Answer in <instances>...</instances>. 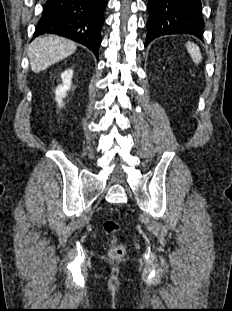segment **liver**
Segmentation results:
<instances>
[{"instance_id": "1", "label": "liver", "mask_w": 232, "mask_h": 311, "mask_svg": "<svg viewBox=\"0 0 232 311\" xmlns=\"http://www.w3.org/2000/svg\"><path fill=\"white\" fill-rule=\"evenodd\" d=\"M77 45L57 35L36 38L29 46L28 56L34 73H39L52 64L72 55Z\"/></svg>"}]
</instances>
